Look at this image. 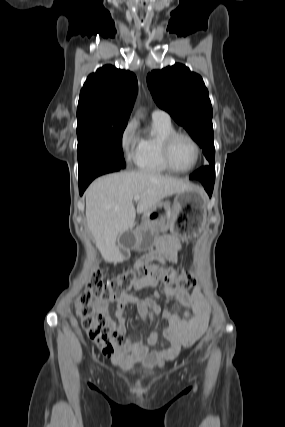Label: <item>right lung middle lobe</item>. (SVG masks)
Listing matches in <instances>:
<instances>
[{
	"mask_svg": "<svg viewBox=\"0 0 285 427\" xmlns=\"http://www.w3.org/2000/svg\"><path fill=\"white\" fill-rule=\"evenodd\" d=\"M126 125L127 120H78L79 176L100 166H126L122 152V135Z\"/></svg>",
	"mask_w": 285,
	"mask_h": 427,
	"instance_id": "dd1d6c3e",
	"label": "right lung middle lobe"
}]
</instances>
